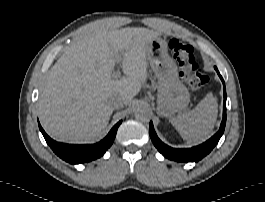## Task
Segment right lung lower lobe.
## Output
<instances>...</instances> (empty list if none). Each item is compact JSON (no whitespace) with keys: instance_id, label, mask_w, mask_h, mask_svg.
<instances>
[{"instance_id":"obj_1","label":"right lung lower lobe","mask_w":265,"mask_h":202,"mask_svg":"<svg viewBox=\"0 0 265 202\" xmlns=\"http://www.w3.org/2000/svg\"><path fill=\"white\" fill-rule=\"evenodd\" d=\"M121 121H119L108 133V135L96 144L91 145H72L56 142L51 139L43 130L40 123L38 122L39 129L42 132L47 144L51 149L63 160L71 164H80L84 162H89L94 159H97L106 152V150L114 142L117 129Z\"/></svg>"}]
</instances>
